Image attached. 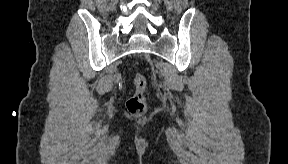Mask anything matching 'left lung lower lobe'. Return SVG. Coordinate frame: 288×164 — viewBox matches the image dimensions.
Here are the masks:
<instances>
[{
    "mask_svg": "<svg viewBox=\"0 0 288 164\" xmlns=\"http://www.w3.org/2000/svg\"><path fill=\"white\" fill-rule=\"evenodd\" d=\"M256 75H257V89L254 92V94L259 100H262L263 99V90L266 86V79H265L264 75H262L260 73H256Z\"/></svg>",
    "mask_w": 288,
    "mask_h": 164,
    "instance_id": "obj_1",
    "label": "left lung lower lobe"
}]
</instances>
